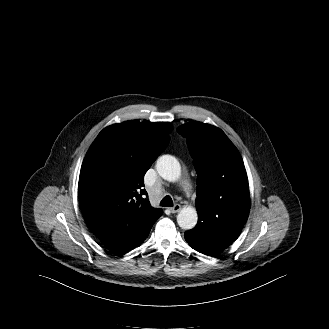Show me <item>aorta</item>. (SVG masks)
<instances>
[{
    "label": "aorta",
    "instance_id": "762f6f07",
    "mask_svg": "<svg viewBox=\"0 0 329 329\" xmlns=\"http://www.w3.org/2000/svg\"><path fill=\"white\" fill-rule=\"evenodd\" d=\"M156 170L158 174L169 182L177 181L181 176L179 161L171 155H163L157 159ZM198 221L197 211L193 207H183L177 215V223L184 230L194 228Z\"/></svg>",
    "mask_w": 329,
    "mask_h": 329
}]
</instances>
